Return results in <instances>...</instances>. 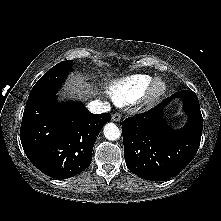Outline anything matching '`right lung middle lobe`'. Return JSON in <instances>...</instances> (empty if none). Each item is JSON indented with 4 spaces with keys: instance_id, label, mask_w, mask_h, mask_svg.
I'll list each match as a JSON object with an SVG mask.
<instances>
[{
    "instance_id": "dd1d6c3e",
    "label": "right lung middle lobe",
    "mask_w": 221,
    "mask_h": 221,
    "mask_svg": "<svg viewBox=\"0 0 221 221\" xmlns=\"http://www.w3.org/2000/svg\"><path fill=\"white\" fill-rule=\"evenodd\" d=\"M71 70L72 60L56 64L37 81L29 94V98L47 91L57 90Z\"/></svg>"
}]
</instances>
